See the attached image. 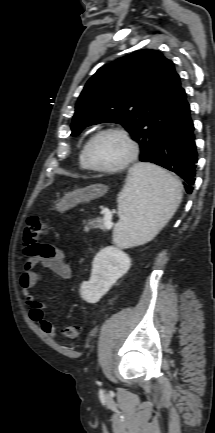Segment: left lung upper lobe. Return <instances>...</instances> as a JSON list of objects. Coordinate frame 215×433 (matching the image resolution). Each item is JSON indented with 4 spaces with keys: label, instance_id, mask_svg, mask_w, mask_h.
Instances as JSON below:
<instances>
[{
    "label": "left lung upper lobe",
    "instance_id": "obj_1",
    "mask_svg": "<svg viewBox=\"0 0 215 433\" xmlns=\"http://www.w3.org/2000/svg\"><path fill=\"white\" fill-rule=\"evenodd\" d=\"M172 61L156 50H139L105 65L89 79L76 104L71 136L103 122L125 127L142 152L153 160L158 139L181 91Z\"/></svg>",
    "mask_w": 215,
    "mask_h": 433
}]
</instances>
